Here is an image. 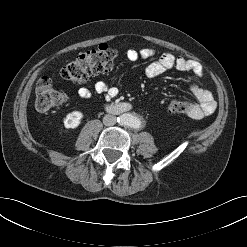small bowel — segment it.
<instances>
[{"instance_id":"c3829d8e","label":"small bowel","mask_w":247,"mask_h":247,"mask_svg":"<svg viewBox=\"0 0 247 247\" xmlns=\"http://www.w3.org/2000/svg\"><path fill=\"white\" fill-rule=\"evenodd\" d=\"M158 53L155 49L144 48L141 50L130 49L127 51V58L130 61H138L156 56ZM169 69H177L180 71H189L196 77L203 76V68L200 63L184 57H176L171 53H162L158 59L145 68V75L149 78L156 77ZM192 92L199 101V105L195 106L193 111L189 113V117L193 119H201L216 109V102L213 93L196 83L191 84ZM94 92L100 95L114 98L118 94V89L109 86L103 81H99L94 86V91L89 88H80L78 95L84 100L93 98Z\"/></svg>"}]
</instances>
